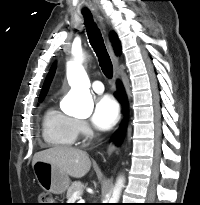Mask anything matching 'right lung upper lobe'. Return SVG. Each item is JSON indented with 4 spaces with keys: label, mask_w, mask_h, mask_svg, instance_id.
<instances>
[{
    "label": "right lung upper lobe",
    "mask_w": 200,
    "mask_h": 205,
    "mask_svg": "<svg viewBox=\"0 0 200 205\" xmlns=\"http://www.w3.org/2000/svg\"><path fill=\"white\" fill-rule=\"evenodd\" d=\"M110 37H111V41L113 43V47L115 49V52H116L117 55H119L120 52H121L120 41H119L117 35H115V34H111ZM54 74H55V65H53V67L51 68V70H50V72H49V74H48V76H47V78H46V80L44 82V85H43V88L41 90L39 99L40 98H44L46 96L47 91L49 89V85H50V83H51V81L53 79Z\"/></svg>",
    "instance_id": "1"
}]
</instances>
